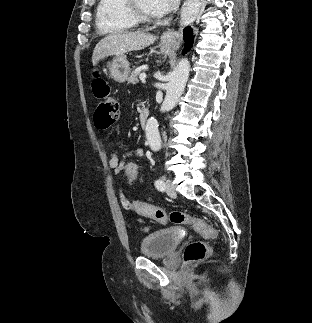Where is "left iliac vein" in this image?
<instances>
[{"mask_svg": "<svg viewBox=\"0 0 312 323\" xmlns=\"http://www.w3.org/2000/svg\"><path fill=\"white\" fill-rule=\"evenodd\" d=\"M164 184H165V190L168 195H170V196L176 195V190H175L171 180L166 179Z\"/></svg>", "mask_w": 312, "mask_h": 323, "instance_id": "left-iliac-vein-1", "label": "left iliac vein"}]
</instances>
